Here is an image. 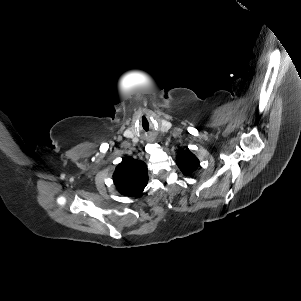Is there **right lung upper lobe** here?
<instances>
[{"label":"right lung upper lobe","instance_id":"right-lung-upper-lobe-1","mask_svg":"<svg viewBox=\"0 0 301 301\" xmlns=\"http://www.w3.org/2000/svg\"><path fill=\"white\" fill-rule=\"evenodd\" d=\"M117 190L125 196H138L148 183L147 166L143 161L124 158L113 174Z\"/></svg>","mask_w":301,"mask_h":301}]
</instances>
